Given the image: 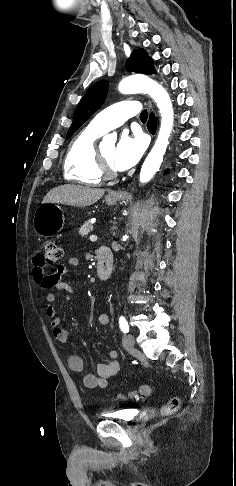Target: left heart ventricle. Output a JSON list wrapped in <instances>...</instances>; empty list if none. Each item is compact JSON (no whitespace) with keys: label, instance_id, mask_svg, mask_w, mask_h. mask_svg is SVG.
I'll return each instance as SVG.
<instances>
[{"label":"left heart ventricle","instance_id":"left-heart-ventricle-1","mask_svg":"<svg viewBox=\"0 0 236 486\" xmlns=\"http://www.w3.org/2000/svg\"><path fill=\"white\" fill-rule=\"evenodd\" d=\"M114 151H115L114 147L111 146L104 147L99 150L103 160L113 169H114L113 166Z\"/></svg>","mask_w":236,"mask_h":486}]
</instances>
